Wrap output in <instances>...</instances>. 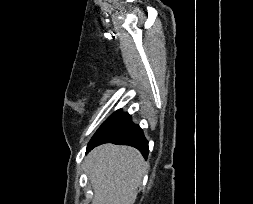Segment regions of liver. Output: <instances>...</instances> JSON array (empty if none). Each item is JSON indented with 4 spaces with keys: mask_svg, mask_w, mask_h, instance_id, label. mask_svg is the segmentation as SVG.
Masks as SVG:
<instances>
[{
    "mask_svg": "<svg viewBox=\"0 0 253 204\" xmlns=\"http://www.w3.org/2000/svg\"><path fill=\"white\" fill-rule=\"evenodd\" d=\"M92 204H134L146 171L141 153L129 146L104 144L86 157Z\"/></svg>",
    "mask_w": 253,
    "mask_h": 204,
    "instance_id": "liver-1",
    "label": "liver"
}]
</instances>
